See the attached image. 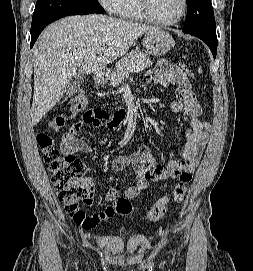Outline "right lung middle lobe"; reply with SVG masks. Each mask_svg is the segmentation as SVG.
I'll list each match as a JSON object with an SVG mask.
<instances>
[{"mask_svg": "<svg viewBox=\"0 0 253 271\" xmlns=\"http://www.w3.org/2000/svg\"><path fill=\"white\" fill-rule=\"evenodd\" d=\"M64 13H104L97 0H37L31 30L47 19Z\"/></svg>", "mask_w": 253, "mask_h": 271, "instance_id": "dd1d6c3e", "label": "right lung middle lobe"}]
</instances>
